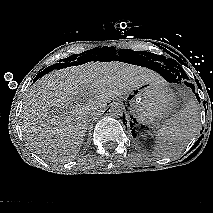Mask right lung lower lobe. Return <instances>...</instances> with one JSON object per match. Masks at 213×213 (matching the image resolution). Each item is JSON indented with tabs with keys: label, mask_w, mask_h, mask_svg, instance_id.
Instances as JSON below:
<instances>
[{
	"label": "right lung lower lobe",
	"mask_w": 213,
	"mask_h": 213,
	"mask_svg": "<svg viewBox=\"0 0 213 213\" xmlns=\"http://www.w3.org/2000/svg\"><path fill=\"white\" fill-rule=\"evenodd\" d=\"M72 64H73V62L70 63V64H68V63H64V64H62V63L54 64V65H52V66H50V67H47L44 71H42L40 74H38L36 78H39L40 75L42 76V75H44V74L50 72L51 70H53V69H55V68H56V69H60V68H62V67L70 66V65H72Z\"/></svg>",
	"instance_id": "1"
}]
</instances>
